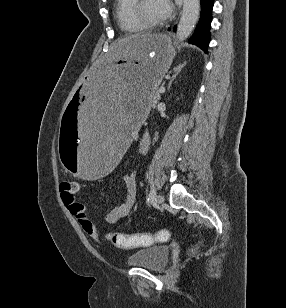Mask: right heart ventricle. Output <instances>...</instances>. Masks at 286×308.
Returning a JSON list of instances; mask_svg holds the SVG:
<instances>
[{
	"mask_svg": "<svg viewBox=\"0 0 286 308\" xmlns=\"http://www.w3.org/2000/svg\"><path fill=\"white\" fill-rule=\"evenodd\" d=\"M136 0H116L115 15L119 28L127 34H135L145 30L132 14Z\"/></svg>",
	"mask_w": 286,
	"mask_h": 308,
	"instance_id": "right-heart-ventricle-1",
	"label": "right heart ventricle"
}]
</instances>
